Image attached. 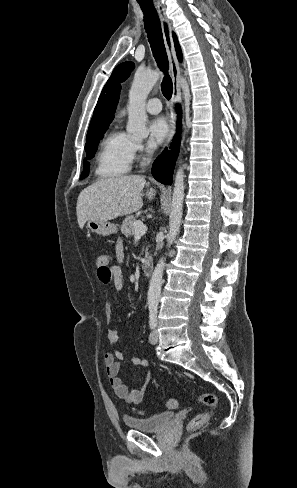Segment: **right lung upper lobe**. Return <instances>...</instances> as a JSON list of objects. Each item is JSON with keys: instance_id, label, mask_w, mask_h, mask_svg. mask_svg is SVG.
<instances>
[{"instance_id": "obj_1", "label": "right lung upper lobe", "mask_w": 297, "mask_h": 488, "mask_svg": "<svg viewBox=\"0 0 297 488\" xmlns=\"http://www.w3.org/2000/svg\"><path fill=\"white\" fill-rule=\"evenodd\" d=\"M120 90V85L116 86L96 105L87 135L95 128L112 122L119 101Z\"/></svg>"}]
</instances>
